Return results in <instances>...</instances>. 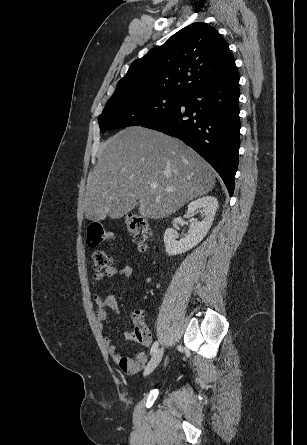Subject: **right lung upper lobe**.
I'll list each match as a JSON object with an SVG mask.
<instances>
[{
	"label": "right lung upper lobe",
	"instance_id": "cb5924a9",
	"mask_svg": "<svg viewBox=\"0 0 307 445\" xmlns=\"http://www.w3.org/2000/svg\"><path fill=\"white\" fill-rule=\"evenodd\" d=\"M234 65L228 44L218 31L206 23L196 22L175 33L160 47L151 49L143 58L133 61L112 97L185 96Z\"/></svg>",
	"mask_w": 307,
	"mask_h": 445
}]
</instances>
